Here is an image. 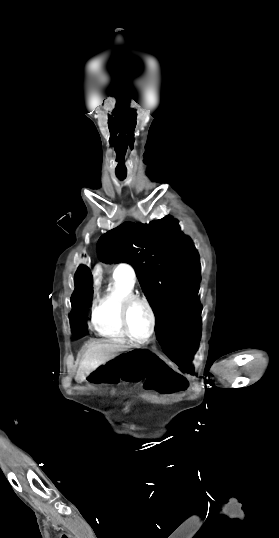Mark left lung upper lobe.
<instances>
[{
    "label": "left lung upper lobe",
    "instance_id": "1",
    "mask_svg": "<svg viewBox=\"0 0 279 538\" xmlns=\"http://www.w3.org/2000/svg\"><path fill=\"white\" fill-rule=\"evenodd\" d=\"M97 253L103 262L133 266L154 310L156 332H181L201 324L199 254L176 220L125 222L99 239Z\"/></svg>",
    "mask_w": 279,
    "mask_h": 538
}]
</instances>
